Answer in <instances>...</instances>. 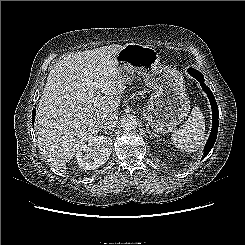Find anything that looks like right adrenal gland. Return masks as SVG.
Returning <instances> with one entry per match:
<instances>
[{
	"label": "right adrenal gland",
	"mask_w": 245,
	"mask_h": 245,
	"mask_svg": "<svg viewBox=\"0 0 245 245\" xmlns=\"http://www.w3.org/2000/svg\"><path fill=\"white\" fill-rule=\"evenodd\" d=\"M102 133L106 134V135H111V137L113 136V130L111 131H101Z\"/></svg>",
	"instance_id": "2a0ac1e0"
}]
</instances>
